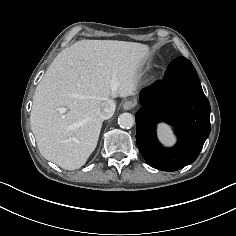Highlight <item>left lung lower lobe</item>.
I'll list each match as a JSON object with an SVG mask.
<instances>
[{"instance_id":"obj_1","label":"left lung lower lobe","mask_w":236,"mask_h":236,"mask_svg":"<svg viewBox=\"0 0 236 236\" xmlns=\"http://www.w3.org/2000/svg\"><path fill=\"white\" fill-rule=\"evenodd\" d=\"M140 100L136 143L146 162L163 171L194 162L210 134V104L191 62L185 57L174 59L164 78L140 93ZM160 121L175 127V147L164 148L158 142L156 124Z\"/></svg>"}]
</instances>
